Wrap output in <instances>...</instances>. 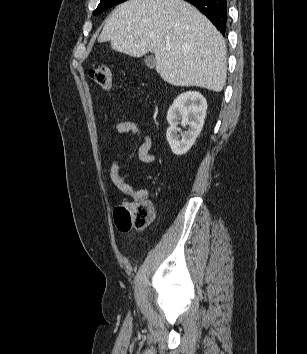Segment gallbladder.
<instances>
[{
    "label": "gallbladder",
    "mask_w": 307,
    "mask_h": 354,
    "mask_svg": "<svg viewBox=\"0 0 307 354\" xmlns=\"http://www.w3.org/2000/svg\"><path fill=\"white\" fill-rule=\"evenodd\" d=\"M155 63H156V61H155V58L153 56L146 57L145 64H146V66L148 68H151V69L154 68L155 67Z\"/></svg>",
    "instance_id": "bac80fb5"
}]
</instances>
